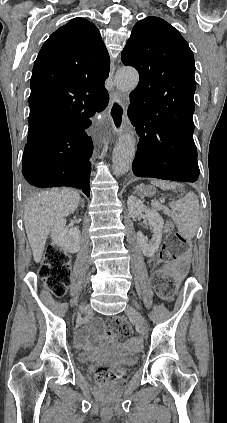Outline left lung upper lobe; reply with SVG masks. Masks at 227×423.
<instances>
[{
  "instance_id": "5c2ea615",
  "label": "left lung upper lobe",
  "mask_w": 227,
  "mask_h": 423,
  "mask_svg": "<svg viewBox=\"0 0 227 423\" xmlns=\"http://www.w3.org/2000/svg\"><path fill=\"white\" fill-rule=\"evenodd\" d=\"M121 59L140 75L138 86L130 94L131 106L150 111L194 112V56L172 25L158 17L137 22Z\"/></svg>"
}]
</instances>
